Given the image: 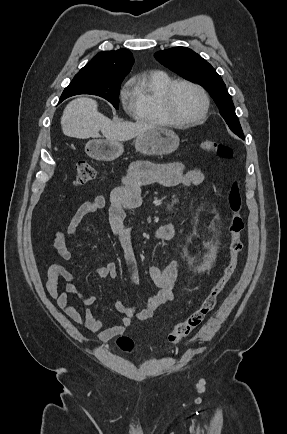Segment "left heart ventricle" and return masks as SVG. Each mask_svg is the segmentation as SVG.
I'll list each match as a JSON object with an SVG mask.
<instances>
[{"mask_svg": "<svg viewBox=\"0 0 287 434\" xmlns=\"http://www.w3.org/2000/svg\"><path fill=\"white\" fill-rule=\"evenodd\" d=\"M173 111L180 119H193L203 108V101L199 92L187 85H179L172 96Z\"/></svg>", "mask_w": 287, "mask_h": 434, "instance_id": "left-heart-ventricle-1", "label": "left heart ventricle"}]
</instances>
